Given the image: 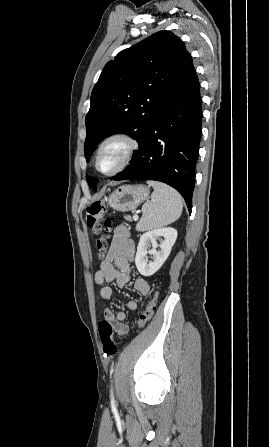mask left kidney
I'll return each mask as SVG.
<instances>
[{
    "instance_id": "1",
    "label": "left kidney",
    "mask_w": 269,
    "mask_h": 447,
    "mask_svg": "<svg viewBox=\"0 0 269 447\" xmlns=\"http://www.w3.org/2000/svg\"><path fill=\"white\" fill-rule=\"evenodd\" d=\"M176 237L177 229H174V227L152 229V231H146L141 235L135 257L136 267L141 275L148 277V275H153L155 271H158L167 259ZM156 239H159L160 243H157ZM148 245H152V249H148ZM156 247H160L159 251ZM147 253L153 255V261H149V263L146 259Z\"/></svg>"
}]
</instances>
